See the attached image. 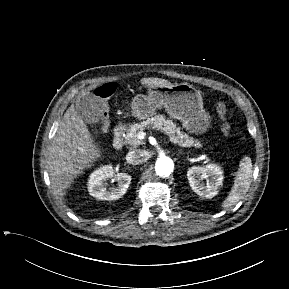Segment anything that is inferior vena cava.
I'll list each match as a JSON object with an SVG mask.
<instances>
[{
    "mask_svg": "<svg viewBox=\"0 0 289 289\" xmlns=\"http://www.w3.org/2000/svg\"><path fill=\"white\" fill-rule=\"evenodd\" d=\"M148 158V153L141 149L129 151L126 155L127 162L132 165L142 164L143 162H146Z\"/></svg>",
    "mask_w": 289,
    "mask_h": 289,
    "instance_id": "602c4592",
    "label": "inferior vena cava"
}]
</instances>
